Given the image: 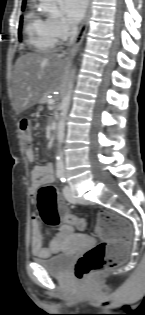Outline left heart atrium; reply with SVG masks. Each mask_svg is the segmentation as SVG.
<instances>
[{"label": "left heart atrium", "instance_id": "39dd6f15", "mask_svg": "<svg viewBox=\"0 0 145 315\" xmlns=\"http://www.w3.org/2000/svg\"><path fill=\"white\" fill-rule=\"evenodd\" d=\"M88 0H61V7L66 20L77 24L83 18Z\"/></svg>", "mask_w": 145, "mask_h": 315}]
</instances>
